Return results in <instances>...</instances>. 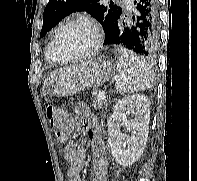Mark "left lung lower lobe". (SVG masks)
Masks as SVG:
<instances>
[{
  "label": "left lung lower lobe",
  "instance_id": "obj_1",
  "mask_svg": "<svg viewBox=\"0 0 197 181\" xmlns=\"http://www.w3.org/2000/svg\"><path fill=\"white\" fill-rule=\"evenodd\" d=\"M158 0H134L135 15L129 20L123 13L109 26L104 45H118L144 57H152L158 48Z\"/></svg>",
  "mask_w": 197,
  "mask_h": 181
}]
</instances>
